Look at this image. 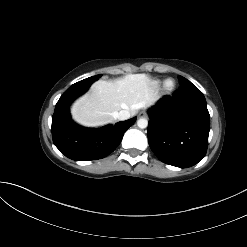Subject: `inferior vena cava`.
<instances>
[{"mask_svg": "<svg viewBox=\"0 0 247 247\" xmlns=\"http://www.w3.org/2000/svg\"><path fill=\"white\" fill-rule=\"evenodd\" d=\"M130 115L131 114L128 110H121L114 114V118L123 121L129 119Z\"/></svg>", "mask_w": 247, "mask_h": 247, "instance_id": "602c4592", "label": "inferior vena cava"}]
</instances>
